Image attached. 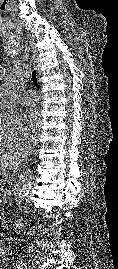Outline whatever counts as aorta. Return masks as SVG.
Masks as SVG:
<instances>
[{"instance_id":"762f6f07","label":"aorta","mask_w":118,"mask_h":269,"mask_svg":"<svg viewBox=\"0 0 118 269\" xmlns=\"http://www.w3.org/2000/svg\"><path fill=\"white\" fill-rule=\"evenodd\" d=\"M29 78V68L23 65L13 71L5 80L0 91V114L12 116L17 112L20 95ZM34 176L31 172H23L16 183L13 194L17 198L24 197L32 188Z\"/></svg>"}]
</instances>
